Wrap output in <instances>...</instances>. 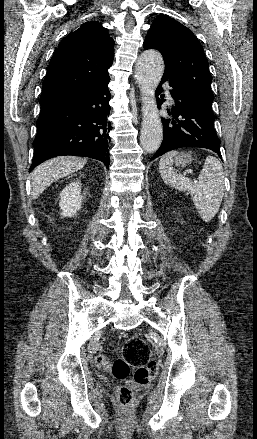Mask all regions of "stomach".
Listing matches in <instances>:
<instances>
[{"mask_svg":"<svg viewBox=\"0 0 257 439\" xmlns=\"http://www.w3.org/2000/svg\"><path fill=\"white\" fill-rule=\"evenodd\" d=\"M193 158L190 153H177L175 155V159L173 160L176 165L185 167L186 165L190 164L192 162Z\"/></svg>","mask_w":257,"mask_h":439,"instance_id":"obj_1","label":"stomach"}]
</instances>
